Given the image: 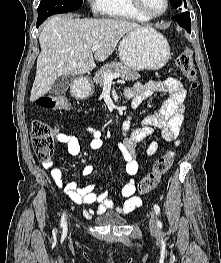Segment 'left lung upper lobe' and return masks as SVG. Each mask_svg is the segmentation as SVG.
I'll use <instances>...</instances> for the list:
<instances>
[{
	"instance_id": "5c2ea615",
	"label": "left lung upper lobe",
	"mask_w": 221,
	"mask_h": 263,
	"mask_svg": "<svg viewBox=\"0 0 221 263\" xmlns=\"http://www.w3.org/2000/svg\"><path fill=\"white\" fill-rule=\"evenodd\" d=\"M173 8H187L186 0H169Z\"/></svg>"
}]
</instances>
